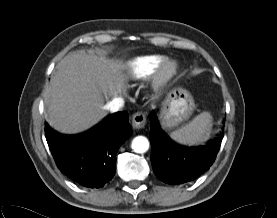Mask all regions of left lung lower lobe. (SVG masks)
<instances>
[{"mask_svg": "<svg viewBox=\"0 0 277 218\" xmlns=\"http://www.w3.org/2000/svg\"><path fill=\"white\" fill-rule=\"evenodd\" d=\"M149 117L151 162L155 175L161 181L182 184L196 179L210 168L220 149L223 132L205 146H180L162 131L154 112Z\"/></svg>", "mask_w": 277, "mask_h": 218, "instance_id": "0a47b994", "label": "left lung lower lobe"}]
</instances>
